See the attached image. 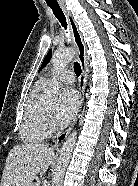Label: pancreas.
<instances>
[{
    "label": "pancreas",
    "instance_id": "1",
    "mask_svg": "<svg viewBox=\"0 0 138 186\" xmlns=\"http://www.w3.org/2000/svg\"><path fill=\"white\" fill-rule=\"evenodd\" d=\"M30 186H37V185H35L34 183H32Z\"/></svg>",
    "mask_w": 138,
    "mask_h": 186
}]
</instances>
